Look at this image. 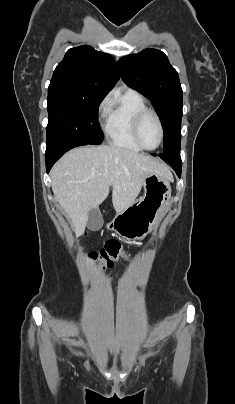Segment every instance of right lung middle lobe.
<instances>
[{
	"mask_svg": "<svg viewBox=\"0 0 235 404\" xmlns=\"http://www.w3.org/2000/svg\"><path fill=\"white\" fill-rule=\"evenodd\" d=\"M102 99L48 89L47 143L73 138L87 144H100L104 137L97 118Z\"/></svg>",
	"mask_w": 235,
	"mask_h": 404,
	"instance_id": "obj_1",
	"label": "right lung middle lobe"
}]
</instances>
